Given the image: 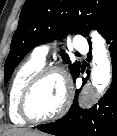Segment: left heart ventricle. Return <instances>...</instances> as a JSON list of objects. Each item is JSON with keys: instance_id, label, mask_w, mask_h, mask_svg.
I'll return each instance as SVG.
<instances>
[{"instance_id": "b2bd125f", "label": "left heart ventricle", "mask_w": 117, "mask_h": 136, "mask_svg": "<svg viewBox=\"0 0 117 136\" xmlns=\"http://www.w3.org/2000/svg\"><path fill=\"white\" fill-rule=\"evenodd\" d=\"M63 99V79L57 74H50L43 78L32 91L27 110L32 117H48L60 108Z\"/></svg>"}]
</instances>
